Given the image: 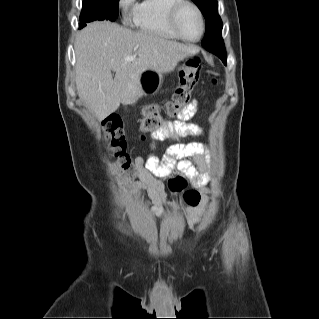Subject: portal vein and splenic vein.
Here are the masks:
<instances>
[{"mask_svg": "<svg viewBox=\"0 0 319 319\" xmlns=\"http://www.w3.org/2000/svg\"><path fill=\"white\" fill-rule=\"evenodd\" d=\"M124 59L125 61H133L135 59V56H127Z\"/></svg>", "mask_w": 319, "mask_h": 319, "instance_id": "portal-vein-and-splenic-vein-1", "label": "portal vein and splenic vein"}]
</instances>
